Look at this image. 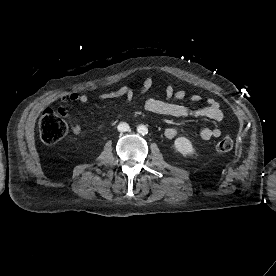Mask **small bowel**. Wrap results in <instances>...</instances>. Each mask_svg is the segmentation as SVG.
Wrapping results in <instances>:
<instances>
[{"mask_svg": "<svg viewBox=\"0 0 276 276\" xmlns=\"http://www.w3.org/2000/svg\"><path fill=\"white\" fill-rule=\"evenodd\" d=\"M152 78L147 77L140 90V94H145L152 86ZM166 97L164 100L157 98H148L145 101V109L153 114L166 115L172 117H203L216 122H221L224 119V114L220 109L218 102L209 98L207 104L200 108H191L189 105L182 103L185 98L186 92L184 90L174 91L173 86L168 84L165 90ZM119 97H125L127 102H131L134 98V92L129 86H122L121 88L104 92L99 95L101 100H110ZM202 99L201 95H193L190 103H197ZM89 100L88 96L79 92H71L60 97L61 107L60 111L67 116L72 132L76 135L82 134L81 126L68 114L64 109V104L69 102L85 104ZM179 133L176 127L167 128L164 135L167 139L174 138ZM221 135V130L218 127H203L199 130V136L203 140H210Z\"/></svg>", "mask_w": 276, "mask_h": 276, "instance_id": "c3829d8e", "label": "small bowel"}]
</instances>
